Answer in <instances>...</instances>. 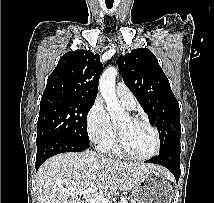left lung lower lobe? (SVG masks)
Segmentation results:
<instances>
[{"mask_svg": "<svg viewBox=\"0 0 214 203\" xmlns=\"http://www.w3.org/2000/svg\"><path fill=\"white\" fill-rule=\"evenodd\" d=\"M180 152H181L180 145L171 147L165 150L164 152L159 153L157 157L147 160L146 162L159 164L166 167L168 170L172 172L176 179V182L178 183L181 174L179 163Z\"/></svg>", "mask_w": 214, "mask_h": 203, "instance_id": "0a47b994", "label": "left lung lower lobe"}]
</instances>
